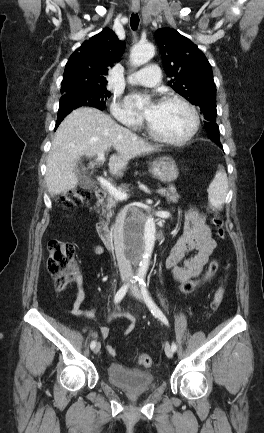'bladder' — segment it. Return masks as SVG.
Listing matches in <instances>:
<instances>
[{"label": "bladder", "mask_w": 264, "mask_h": 433, "mask_svg": "<svg viewBox=\"0 0 264 433\" xmlns=\"http://www.w3.org/2000/svg\"><path fill=\"white\" fill-rule=\"evenodd\" d=\"M106 374L111 384L131 393L149 392L155 384L151 372L119 364H110L106 369Z\"/></svg>", "instance_id": "31cf9c89"}]
</instances>
